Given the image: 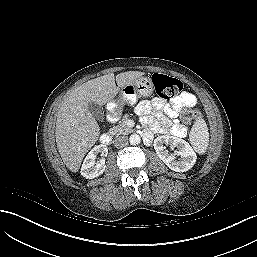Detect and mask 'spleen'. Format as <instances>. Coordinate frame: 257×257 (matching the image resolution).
Returning <instances> with one entry per match:
<instances>
[{"instance_id":"spleen-1","label":"spleen","mask_w":257,"mask_h":257,"mask_svg":"<svg viewBox=\"0 0 257 257\" xmlns=\"http://www.w3.org/2000/svg\"><path fill=\"white\" fill-rule=\"evenodd\" d=\"M189 141L197 153L204 154L206 152L209 144V132L204 119L199 118L195 121L189 134Z\"/></svg>"}]
</instances>
